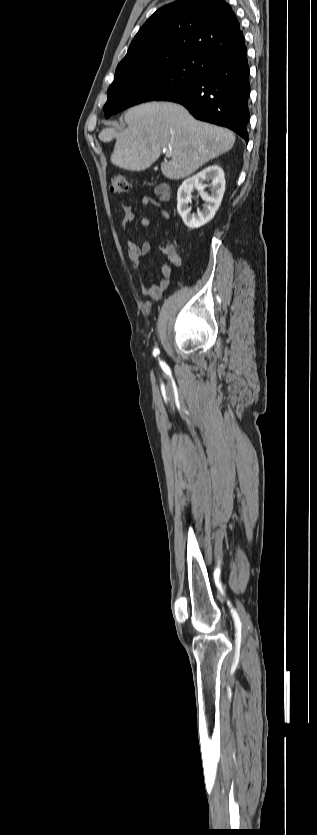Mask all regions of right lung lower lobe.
Here are the masks:
<instances>
[{
    "label": "right lung lower lobe",
    "mask_w": 317,
    "mask_h": 835,
    "mask_svg": "<svg viewBox=\"0 0 317 835\" xmlns=\"http://www.w3.org/2000/svg\"><path fill=\"white\" fill-rule=\"evenodd\" d=\"M197 58L200 77L156 100L180 103L196 119L227 127L248 143L250 84L243 33Z\"/></svg>",
    "instance_id": "98d812e1"
}]
</instances>
